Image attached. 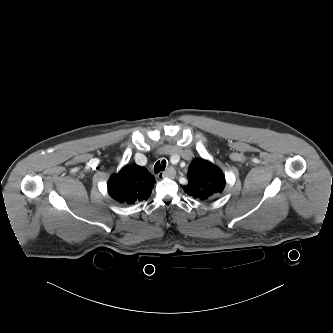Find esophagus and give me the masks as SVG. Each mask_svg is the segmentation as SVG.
Masks as SVG:
<instances>
[{
	"instance_id": "1",
	"label": "esophagus",
	"mask_w": 333,
	"mask_h": 333,
	"mask_svg": "<svg viewBox=\"0 0 333 333\" xmlns=\"http://www.w3.org/2000/svg\"><path fill=\"white\" fill-rule=\"evenodd\" d=\"M175 176H176V170L173 167H169L164 172H160L157 177L159 179H162V178H171V179H173Z\"/></svg>"
}]
</instances>
